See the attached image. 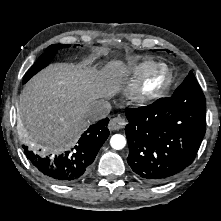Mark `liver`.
<instances>
[{"instance_id":"6515ba94","label":"liver","mask_w":221,"mask_h":221,"mask_svg":"<svg viewBox=\"0 0 221 221\" xmlns=\"http://www.w3.org/2000/svg\"><path fill=\"white\" fill-rule=\"evenodd\" d=\"M128 74L129 66L122 60H112L100 71L86 64L48 66L20 94L22 137L31 143L72 145L90 124L86 113L91 104L119 93Z\"/></svg>"}]
</instances>
